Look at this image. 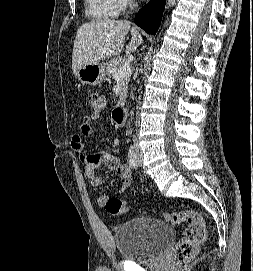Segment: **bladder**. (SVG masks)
Here are the masks:
<instances>
[{"instance_id":"bladder-1","label":"bladder","mask_w":253,"mask_h":271,"mask_svg":"<svg viewBox=\"0 0 253 271\" xmlns=\"http://www.w3.org/2000/svg\"><path fill=\"white\" fill-rule=\"evenodd\" d=\"M172 239V228L156 218H134L119 225L115 231L120 256L137 263L155 261Z\"/></svg>"}]
</instances>
